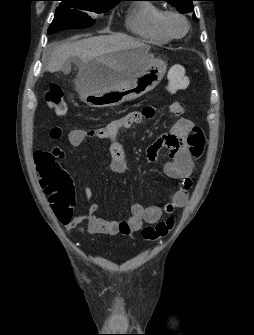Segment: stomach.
I'll list each match as a JSON object with an SVG mask.
<instances>
[{"label":"stomach","mask_w":254,"mask_h":335,"mask_svg":"<svg viewBox=\"0 0 254 335\" xmlns=\"http://www.w3.org/2000/svg\"><path fill=\"white\" fill-rule=\"evenodd\" d=\"M167 65L149 54L142 45L111 54L107 60L97 58L89 64L88 74L76 80L81 100L90 107L118 106L153 90L165 75ZM135 73L119 89L106 90L116 73Z\"/></svg>","instance_id":"1"}]
</instances>
